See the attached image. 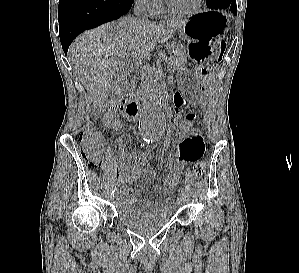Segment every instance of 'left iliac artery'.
Returning a JSON list of instances; mask_svg holds the SVG:
<instances>
[{
	"instance_id": "1",
	"label": "left iliac artery",
	"mask_w": 299,
	"mask_h": 273,
	"mask_svg": "<svg viewBox=\"0 0 299 273\" xmlns=\"http://www.w3.org/2000/svg\"><path fill=\"white\" fill-rule=\"evenodd\" d=\"M179 192H180V194L185 195V192H184L183 188H180Z\"/></svg>"
}]
</instances>
